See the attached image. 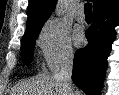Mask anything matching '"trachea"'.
I'll list each match as a JSON object with an SVG mask.
<instances>
[{"label": "trachea", "mask_w": 119, "mask_h": 95, "mask_svg": "<svg viewBox=\"0 0 119 95\" xmlns=\"http://www.w3.org/2000/svg\"><path fill=\"white\" fill-rule=\"evenodd\" d=\"M84 13L86 16H92V4L91 3L88 2L85 4Z\"/></svg>", "instance_id": "trachea-1"}]
</instances>
